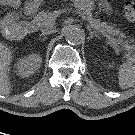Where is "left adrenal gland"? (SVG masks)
Listing matches in <instances>:
<instances>
[{
  "mask_svg": "<svg viewBox=\"0 0 135 135\" xmlns=\"http://www.w3.org/2000/svg\"><path fill=\"white\" fill-rule=\"evenodd\" d=\"M89 30V37L88 40L92 39L93 37H96V34L91 31V29L88 27Z\"/></svg>",
  "mask_w": 135,
  "mask_h": 135,
  "instance_id": "1",
  "label": "left adrenal gland"
}]
</instances>
